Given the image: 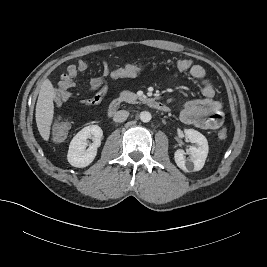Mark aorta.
<instances>
[{
    "instance_id": "762f6f07",
    "label": "aorta",
    "mask_w": 267,
    "mask_h": 267,
    "mask_svg": "<svg viewBox=\"0 0 267 267\" xmlns=\"http://www.w3.org/2000/svg\"><path fill=\"white\" fill-rule=\"evenodd\" d=\"M151 118H152V116H151L150 112H148V111H142L140 113V120L144 123L149 122L151 120Z\"/></svg>"
}]
</instances>
